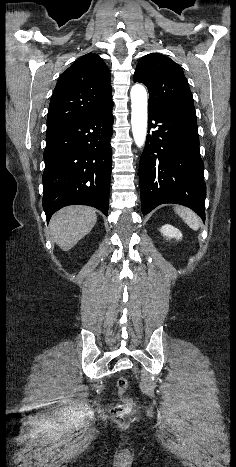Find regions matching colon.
Here are the masks:
<instances>
[{"instance_id": "obj_1", "label": "colon", "mask_w": 236, "mask_h": 467, "mask_svg": "<svg viewBox=\"0 0 236 467\" xmlns=\"http://www.w3.org/2000/svg\"><path fill=\"white\" fill-rule=\"evenodd\" d=\"M127 388V379L125 377H120L117 382V390L123 402L114 405L112 408V414L116 417H123L127 415L133 408V401L126 396Z\"/></svg>"}]
</instances>
